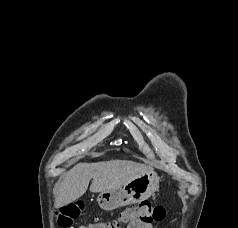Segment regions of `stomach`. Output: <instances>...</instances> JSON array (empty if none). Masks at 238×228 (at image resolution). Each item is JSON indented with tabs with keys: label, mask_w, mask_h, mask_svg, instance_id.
<instances>
[{
	"label": "stomach",
	"mask_w": 238,
	"mask_h": 228,
	"mask_svg": "<svg viewBox=\"0 0 238 228\" xmlns=\"http://www.w3.org/2000/svg\"><path fill=\"white\" fill-rule=\"evenodd\" d=\"M159 181L154 170L144 172L116 189L101 192L98 204L104 210H113L141 202L158 190Z\"/></svg>",
	"instance_id": "1"
}]
</instances>
